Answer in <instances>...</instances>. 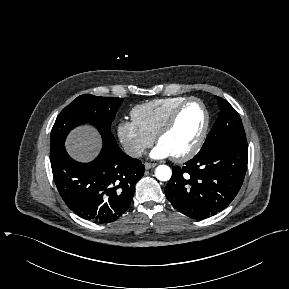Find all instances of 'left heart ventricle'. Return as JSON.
<instances>
[{"mask_svg": "<svg viewBox=\"0 0 289 289\" xmlns=\"http://www.w3.org/2000/svg\"><path fill=\"white\" fill-rule=\"evenodd\" d=\"M204 120L201 106L195 102L188 104L180 113L172 130L161 138L159 144L167 149L171 156L186 152L198 139Z\"/></svg>", "mask_w": 289, "mask_h": 289, "instance_id": "1", "label": "left heart ventricle"}]
</instances>
